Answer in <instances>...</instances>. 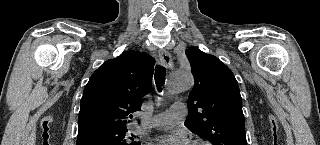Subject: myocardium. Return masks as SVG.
<instances>
[{
  "label": "myocardium",
  "instance_id": "myocardium-1",
  "mask_svg": "<svg viewBox=\"0 0 320 145\" xmlns=\"http://www.w3.org/2000/svg\"><path fill=\"white\" fill-rule=\"evenodd\" d=\"M196 145H206V144H204V143H197Z\"/></svg>",
  "mask_w": 320,
  "mask_h": 145
}]
</instances>
